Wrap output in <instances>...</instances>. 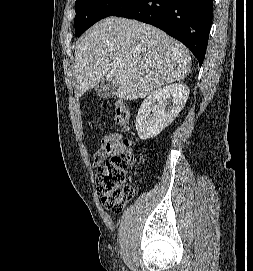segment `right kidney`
<instances>
[{
    "label": "right kidney",
    "instance_id": "right-kidney-1",
    "mask_svg": "<svg viewBox=\"0 0 253 271\" xmlns=\"http://www.w3.org/2000/svg\"><path fill=\"white\" fill-rule=\"evenodd\" d=\"M188 96L189 88L183 83L170 84L152 92L142 102L136 116L139 138L146 140L160 134L183 109ZM168 100L172 102L169 104Z\"/></svg>",
    "mask_w": 253,
    "mask_h": 271
}]
</instances>
